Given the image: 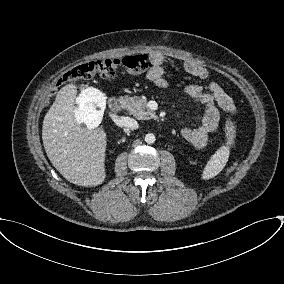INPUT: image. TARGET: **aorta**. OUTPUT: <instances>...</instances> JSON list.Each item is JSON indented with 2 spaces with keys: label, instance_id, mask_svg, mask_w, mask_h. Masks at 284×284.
Instances as JSON below:
<instances>
[{
  "label": "aorta",
  "instance_id": "aorta-1",
  "mask_svg": "<svg viewBox=\"0 0 284 284\" xmlns=\"http://www.w3.org/2000/svg\"><path fill=\"white\" fill-rule=\"evenodd\" d=\"M156 141V137L153 133H148L145 135V142L148 144H152Z\"/></svg>",
  "mask_w": 284,
  "mask_h": 284
}]
</instances>
